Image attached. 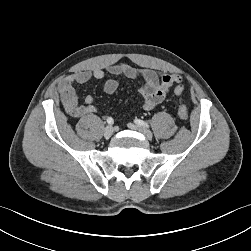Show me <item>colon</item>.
<instances>
[{"mask_svg": "<svg viewBox=\"0 0 251 251\" xmlns=\"http://www.w3.org/2000/svg\"><path fill=\"white\" fill-rule=\"evenodd\" d=\"M178 115L182 120H187L189 117L188 110L185 105L180 104L178 107Z\"/></svg>", "mask_w": 251, "mask_h": 251, "instance_id": "1", "label": "colon"}]
</instances>
